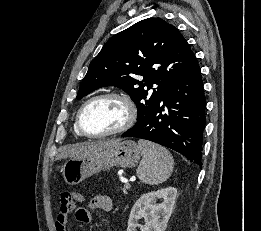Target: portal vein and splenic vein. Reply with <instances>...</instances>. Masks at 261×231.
Segmentation results:
<instances>
[{
    "label": "portal vein and splenic vein",
    "mask_w": 261,
    "mask_h": 231,
    "mask_svg": "<svg viewBox=\"0 0 261 231\" xmlns=\"http://www.w3.org/2000/svg\"><path fill=\"white\" fill-rule=\"evenodd\" d=\"M124 182H125V185H126V186H130L128 180H125Z\"/></svg>",
    "instance_id": "obj_1"
}]
</instances>
